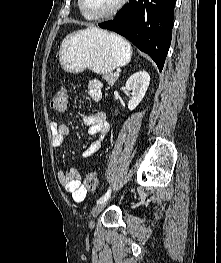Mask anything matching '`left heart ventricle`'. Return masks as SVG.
Returning <instances> with one entry per match:
<instances>
[{"mask_svg":"<svg viewBox=\"0 0 221 263\" xmlns=\"http://www.w3.org/2000/svg\"><path fill=\"white\" fill-rule=\"evenodd\" d=\"M119 0H84L86 9L92 14H100L113 8Z\"/></svg>","mask_w":221,"mask_h":263,"instance_id":"b2bd125f","label":"left heart ventricle"}]
</instances>
